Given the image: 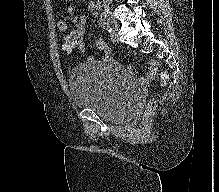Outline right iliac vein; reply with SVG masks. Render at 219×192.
Here are the masks:
<instances>
[{
	"label": "right iliac vein",
	"mask_w": 219,
	"mask_h": 192,
	"mask_svg": "<svg viewBox=\"0 0 219 192\" xmlns=\"http://www.w3.org/2000/svg\"><path fill=\"white\" fill-rule=\"evenodd\" d=\"M103 15L106 17V19H107L108 23L110 24L112 30L114 32H116L118 30V23L115 20V18L113 17L112 13L108 9H105L104 12H103Z\"/></svg>",
	"instance_id": "right-iliac-vein-1"
}]
</instances>
